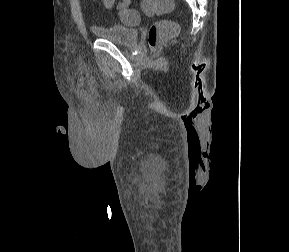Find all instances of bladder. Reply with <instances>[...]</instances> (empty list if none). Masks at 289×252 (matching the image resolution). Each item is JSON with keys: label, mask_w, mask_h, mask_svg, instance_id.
<instances>
[{"label": "bladder", "mask_w": 289, "mask_h": 252, "mask_svg": "<svg viewBox=\"0 0 289 252\" xmlns=\"http://www.w3.org/2000/svg\"><path fill=\"white\" fill-rule=\"evenodd\" d=\"M92 32L102 39L120 45L135 44L139 37V32L136 28L121 25H112L106 27L93 26Z\"/></svg>", "instance_id": "31cf9c89"}]
</instances>
